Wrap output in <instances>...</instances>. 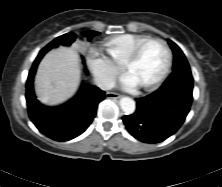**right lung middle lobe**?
<instances>
[{
	"instance_id": "dd1d6c3e",
	"label": "right lung middle lobe",
	"mask_w": 222,
	"mask_h": 187,
	"mask_svg": "<svg viewBox=\"0 0 222 187\" xmlns=\"http://www.w3.org/2000/svg\"><path fill=\"white\" fill-rule=\"evenodd\" d=\"M98 34H100V33L96 32V31H89V32L85 33V36L88 37V40H91L94 36H96ZM75 38H76V34L67 33V34H64L62 36L55 38L46 47L51 49L53 47H58L60 44L69 46L75 41Z\"/></svg>"
}]
</instances>
